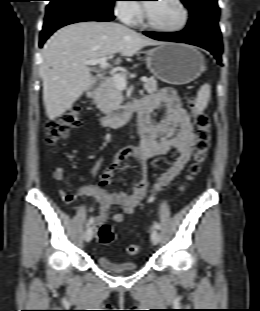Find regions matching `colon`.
Instances as JSON below:
<instances>
[{
    "mask_svg": "<svg viewBox=\"0 0 260 311\" xmlns=\"http://www.w3.org/2000/svg\"><path fill=\"white\" fill-rule=\"evenodd\" d=\"M189 108L193 114L196 127V139L193 160L186 176L187 181L193 180L201 172L208 157L211 140L210 118L208 114L197 108L194 98L189 100ZM81 123V110L78 107L72 108L58 119L49 121L45 127V138L48 147L54 150L57 144L69 137L72 131L78 128ZM97 237L102 244L107 245L114 241L115 234L110 225L104 223L98 227ZM139 250L138 244H130L127 247V252L130 255L137 254Z\"/></svg>",
    "mask_w": 260,
    "mask_h": 311,
    "instance_id": "obj_1",
    "label": "colon"
}]
</instances>
